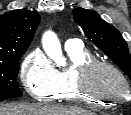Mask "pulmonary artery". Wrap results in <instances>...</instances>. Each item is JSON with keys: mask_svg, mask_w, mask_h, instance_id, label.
Returning a JSON list of instances; mask_svg holds the SVG:
<instances>
[{"mask_svg": "<svg viewBox=\"0 0 131 115\" xmlns=\"http://www.w3.org/2000/svg\"><path fill=\"white\" fill-rule=\"evenodd\" d=\"M80 47V41L77 39H69L65 43V48L70 49V48H76Z\"/></svg>", "mask_w": 131, "mask_h": 115, "instance_id": "pulmonary-artery-1", "label": "pulmonary artery"}]
</instances>
